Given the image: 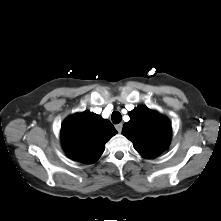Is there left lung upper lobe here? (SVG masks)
Wrapping results in <instances>:
<instances>
[{"instance_id": "1", "label": "left lung upper lobe", "mask_w": 221, "mask_h": 221, "mask_svg": "<svg viewBox=\"0 0 221 221\" xmlns=\"http://www.w3.org/2000/svg\"><path fill=\"white\" fill-rule=\"evenodd\" d=\"M130 120L123 125L122 133L137 152L145 158H156L169 145L171 124L166 117L145 106L129 112Z\"/></svg>"}]
</instances>
